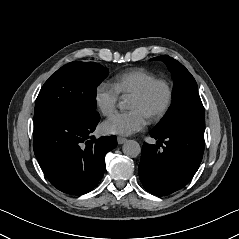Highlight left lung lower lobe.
<instances>
[{
    "instance_id": "obj_1",
    "label": "left lung lower lobe",
    "mask_w": 239,
    "mask_h": 239,
    "mask_svg": "<svg viewBox=\"0 0 239 239\" xmlns=\"http://www.w3.org/2000/svg\"><path fill=\"white\" fill-rule=\"evenodd\" d=\"M205 123L186 122L155 134L156 145L144 143L139 177L144 188L158 196L183 188L197 172L204 152Z\"/></svg>"
}]
</instances>
